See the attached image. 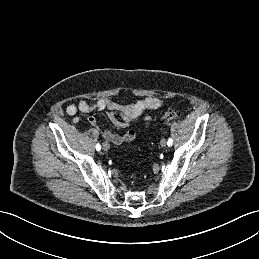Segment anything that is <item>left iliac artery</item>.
<instances>
[{"mask_svg": "<svg viewBox=\"0 0 259 259\" xmlns=\"http://www.w3.org/2000/svg\"><path fill=\"white\" fill-rule=\"evenodd\" d=\"M172 144H173V140L171 138H169L168 141H167V145L172 146Z\"/></svg>", "mask_w": 259, "mask_h": 259, "instance_id": "1", "label": "left iliac artery"}]
</instances>
